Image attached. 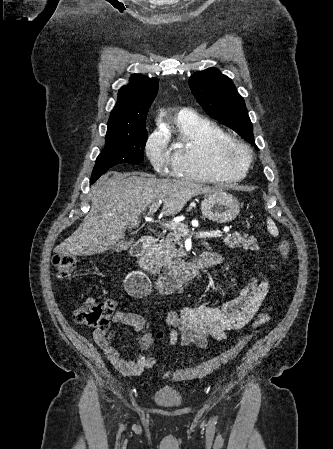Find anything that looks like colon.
Instances as JSON below:
<instances>
[{
    "instance_id": "colon-1",
    "label": "colon",
    "mask_w": 333,
    "mask_h": 449,
    "mask_svg": "<svg viewBox=\"0 0 333 449\" xmlns=\"http://www.w3.org/2000/svg\"><path fill=\"white\" fill-rule=\"evenodd\" d=\"M276 249L283 258H288L291 252L290 244L286 240H278ZM52 265L60 278H66L73 273L76 259L69 254L56 253L52 257ZM114 311L115 303L112 300L101 302L96 300L86 301L83 306L75 311L74 318L80 324L95 329L107 330ZM245 342L246 339H241L216 358L204 361L193 367L166 372L164 376L173 380H189L211 374L221 366L234 360L241 352Z\"/></svg>"
}]
</instances>
